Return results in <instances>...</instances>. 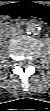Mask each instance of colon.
<instances>
[{
    "label": "colon",
    "mask_w": 50,
    "mask_h": 111,
    "mask_svg": "<svg viewBox=\"0 0 50 111\" xmlns=\"http://www.w3.org/2000/svg\"><path fill=\"white\" fill-rule=\"evenodd\" d=\"M0 15L4 22L19 18H36L47 22L50 20V7L37 0H17L4 5Z\"/></svg>",
    "instance_id": "1"
}]
</instances>
